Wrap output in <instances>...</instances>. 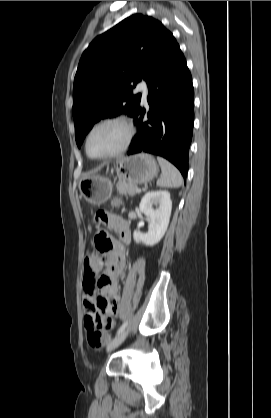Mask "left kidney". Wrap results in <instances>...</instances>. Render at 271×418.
<instances>
[{
  "instance_id": "obj_1",
  "label": "left kidney",
  "mask_w": 271,
  "mask_h": 418,
  "mask_svg": "<svg viewBox=\"0 0 271 418\" xmlns=\"http://www.w3.org/2000/svg\"><path fill=\"white\" fill-rule=\"evenodd\" d=\"M153 205L156 208H153ZM139 208L149 219L148 232L142 233L134 231L136 243H143L147 246L157 244L167 231L172 201L168 191H151L146 193L141 199Z\"/></svg>"
}]
</instances>
